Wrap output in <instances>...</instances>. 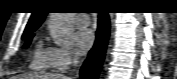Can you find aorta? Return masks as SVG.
<instances>
[{"label":"aorta","instance_id":"1","mask_svg":"<svg viewBox=\"0 0 177 79\" xmlns=\"http://www.w3.org/2000/svg\"><path fill=\"white\" fill-rule=\"evenodd\" d=\"M71 13H51L49 30L57 46L69 47L72 44L74 26Z\"/></svg>","mask_w":177,"mask_h":79}]
</instances>
